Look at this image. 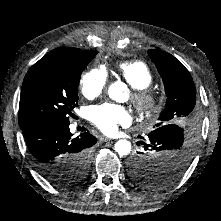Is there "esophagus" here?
<instances>
[{"label":"esophagus","mask_w":221,"mask_h":221,"mask_svg":"<svg viewBox=\"0 0 221 221\" xmlns=\"http://www.w3.org/2000/svg\"><path fill=\"white\" fill-rule=\"evenodd\" d=\"M100 141L102 142H108V141H111L110 138L106 137V136H100Z\"/></svg>","instance_id":"1"}]
</instances>
